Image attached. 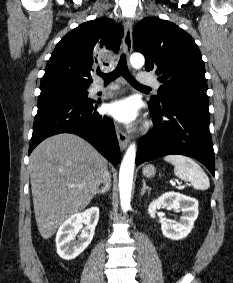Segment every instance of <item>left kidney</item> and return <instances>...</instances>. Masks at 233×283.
I'll return each instance as SVG.
<instances>
[{
	"instance_id": "left-kidney-1",
	"label": "left kidney",
	"mask_w": 233,
	"mask_h": 283,
	"mask_svg": "<svg viewBox=\"0 0 233 283\" xmlns=\"http://www.w3.org/2000/svg\"><path fill=\"white\" fill-rule=\"evenodd\" d=\"M166 208L168 210H180L182 216L178 221L161 222L162 233L172 240H180L188 236L198 217V201L195 198L185 196L176 192H167L150 203L148 213L152 218L156 217V209Z\"/></svg>"
}]
</instances>
